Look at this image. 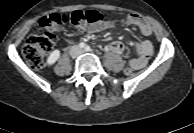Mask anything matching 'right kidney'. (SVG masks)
Wrapping results in <instances>:
<instances>
[{
  "instance_id": "1",
  "label": "right kidney",
  "mask_w": 194,
  "mask_h": 133,
  "mask_svg": "<svg viewBox=\"0 0 194 133\" xmlns=\"http://www.w3.org/2000/svg\"><path fill=\"white\" fill-rule=\"evenodd\" d=\"M59 56H60L59 50L56 49V50L52 51L47 58L46 64L48 66L53 65L59 59Z\"/></svg>"
}]
</instances>
